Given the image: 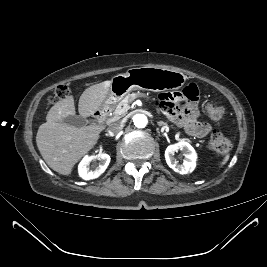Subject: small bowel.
Segmentation results:
<instances>
[{
    "mask_svg": "<svg viewBox=\"0 0 267 267\" xmlns=\"http://www.w3.org/2000/svg\"><path fill=\"white\" fill-rule=\"evenodd\" d=\"M197 100V86L189 84L181 92L161 93L157 104L176 124L184 126L190 135L202 138L210 133L211 126L199 120Z\"/></svg>",
    "mask_w": 267,
    "mask_h": 267,
    "instance_id": "1",
    "label": "small bowel"
}]
</instances>
